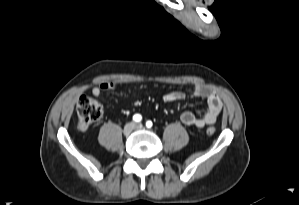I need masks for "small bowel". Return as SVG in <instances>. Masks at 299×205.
<instances>
[{
  "mask_svg": "<svg viewBox=\"0 0 299 205\" xmlns=\"http://www.w3.org/2000/svg\"><path fill=\"white\" fill-rule=\"evenodd\" d=\"M120 86V82L105 81L92 89V95L94 97H99L102 92L115 90ZM193 96L205 99L207 102V110L201 116H196L190 111H185L181 114V122L186 126H194L197 128H203L206 125L214 124L222 111L223 105L220 97L202 84L194 85ZM184 97L185 94L181 91H171L164 94L163 100L165 102H175L182 100Z\"/></svg>",
  "mask_w": 299,
  "mask_h": 205,
  "instance_id": "small-bowel-1",
  "label": "small bowel"
}]
</instances>
